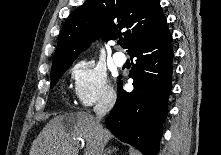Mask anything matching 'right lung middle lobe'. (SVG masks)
Returning <instances> with one entry per match:
<instances>
[{
    "label": "right lung middle lobe",
    "mask_w": 221,
    "mask_h": 155,
    "mask_svg": "<svg viewBox=\"0 0 221 155\" xmlns=\"http://www.w3.org/2000/svg\"><path fill=\"white\" fill-rule=\"evenodd\" d=\"M70 65L71 64L64 65V66L51 70V86H50L51 88L54 87V85L57 83L59 78L63 75V73L67 70V68Z\"/></svg>",
    "instance_id": "obj_1"
}]
</instances>
